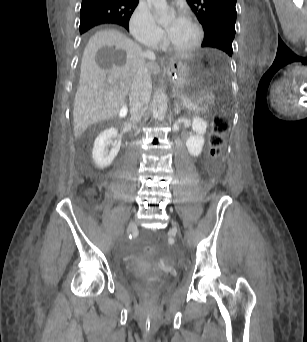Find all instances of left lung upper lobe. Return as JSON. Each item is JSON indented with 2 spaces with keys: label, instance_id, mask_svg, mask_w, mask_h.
<instances>
[{
  "label": "left lung upper lobe",
  "instance_id": "left-lung-upper-lobe-1",
  "mask_svg": "<svg viewBox=\"0 0 307 342\" xmlns=\"http://www.w3.org/2000/svg\"><path fill=\"white\" fill-rule=\"evenodd\" d=\"M237 0H187L205 36L202 47L217 48L232 56Z\"/></svg>",
  "mask_w": 307,
  "mask_h": 342
}]
</instances>
